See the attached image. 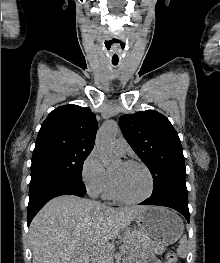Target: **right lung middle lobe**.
Returning a JSON list of instances; mask_svg holds the SVG:
<instances>
[{
  "instance_id": "dd1d6c3e",
  "label": "right lung middle lobe",
  "mask_w": 220,
  "mask_h": 263,
  "mask_svg": "<svg viewBox=\"0 0 220 263\" xmlns=\"http://www.w3.org/2000/svg\"><path fill=\"white\" fill-rule=\"evenodd\" d=\"M91 151L77 148H50L33 152L31 174L48 171L82 180L83 162Z\"/></svg>"
}]
</instances>
